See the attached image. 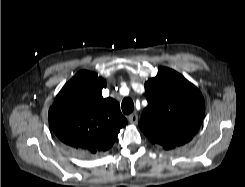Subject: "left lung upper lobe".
Instances as JSON below:
<instances>
[{"instance_id":"1","label":"left lung upper lobe","mask_w":245,"mask_h":187,"mask_svg":"<svg viewBox=\"0 0 245 187\" xmlns=\"http://www.w3.org/2000/svg\"><path fill=\"white\" fill-rule=\"evenodd\" d=\"M148 106L140 129L153 144L173 149L189 142L203 121L205 102L201 92L181 74L161 68L145 83Z\"/></svg>"}]
</instances>
